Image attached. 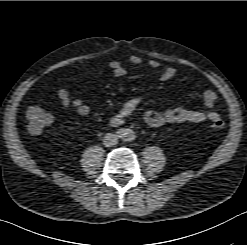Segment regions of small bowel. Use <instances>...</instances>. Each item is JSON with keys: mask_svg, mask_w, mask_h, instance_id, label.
<instances>
[{"mask_svg": "<svg viewBox=\"0 0 247 245\" xmlns=\"http://www.w3.org/2000/svg\"><path fill=\"white\" fill-rule=\"evenodd\" d=\"M132 65H139L142 59L137 55L129 57ZM148 64L152 68H159L160 62L156 59H150ZM108 67L116 77H125L127 70L119 61H110ZM176 76L174 67H166L162 74L161 80L169 81ZM58 97L65 108H74L81 116H87L90 113V107L83 100L73 98L70 92L65 88L58 90ZM147 98L146 95H133L126 99L120 106L118 112L112 117L111 122L114 125L120 124L127 117L134 113L138 106ZM203 101L208 111L193 110L184 107L171 108L163 111L149 110L144 114L145 122L151 127H161L168 123H201L212 121L220 118L218 111V96L213 90H207L203 94Z\"/></svg>", "mask_w": 247, "mask_h": 245, "instance_id": "obj_1", "label": "small bowel"}]
</instances>
